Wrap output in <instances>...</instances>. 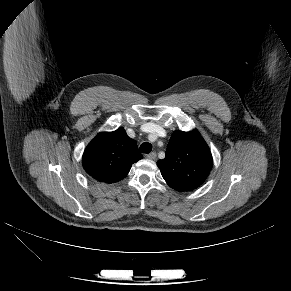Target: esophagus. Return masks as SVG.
I'll list each match as a JSON object with an SVG mask.
<instances>
[{"label": "esophagus", "mask_w": 291, "mask_h": 291, "mask_svg": "<svg viewBox=\"0 0 291 291\" xmlns=\"http://www.w3.org/2000/svg\"><path fill=\"white\" fill-rule=\"evenodd\" d=\"M145 158L150 159V160H154L156 158V153L155 152H151L150 154H147L145 156Z\"/></svg>", "instance_id": "1"}]
</instances>
